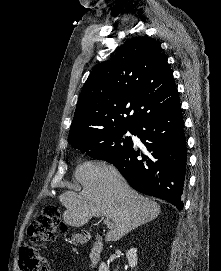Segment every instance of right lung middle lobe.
Listing matches in <instances>:
<instances>
[{
	"label": "right lung middle lobe",
	"mask_w": 221,
	"mask_h": 271,
	"mask_svg": "<svg viewBox=\"0 0 221 271\" xmlns=\"http://www.w3.org/2000/svg\"><path fill=\"white\" fill-rule=\"evenodd\" d=\"M135 130L136 127L132 126H115L92 135L77 138L69 143L95 159L113 163L133 146L131 138H123V135L127 131L134 134Z\"/></svg>",
	"instance_id": "right-lung-middle-lobe-1"
}]
</instances>
